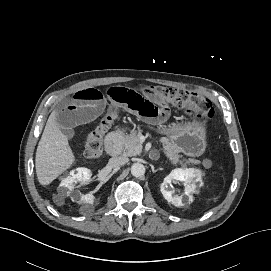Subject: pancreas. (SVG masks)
<instances>
[{"mask_svg": "<svg viewBox=\"0 0 271 271\" xmlns=\"http://www.w3.org/2000/svg\"><path fill=\"white\" fill-rule=\"evenodd\" d=\"M140 134V132L132 131L130 134L124 136V149L122 152L124 156H136L141 153L142 144L139 141ZM161 142L163 144L164 153L169 158L170 162L173 165L180 163L179 158L181 156L178 154L177 150L174 149V147L168 143L167 140L161 139Z\"/></svg>", "mask_w": 271, "mask_h": 271, "instance_id": "pancreas-1", "label": "pancreas"}]
</instances>
